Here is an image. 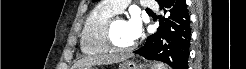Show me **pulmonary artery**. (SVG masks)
Segmentation results:
<instances>
[{
	"instance_id": "1",
	"label": "pulmonary artery",
	"mask_w": 246,
	"mask_h": 69,
	"mask_svg": "<svg viewBox=\"0 0 246 69\" xmlns=\"http://www.w3.org/2000/svg\"><path fill=\"white\" fill-rule=\"evenodd\" d=\"M108 6L114 10L116 13H120L122 12L125 7H126V4L129 2L127 0H110V1H105ZM143 6L145 7H148V9H152L155 7L156 3L155 2H143L142 4Z\"/></svg>"
}]
</instances>
